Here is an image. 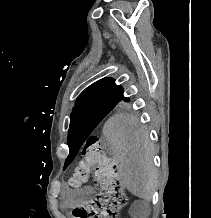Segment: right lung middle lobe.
<instances>
[{
	"label": "right lung middle lobe",
	"mask_w": 211,
	"mask_h": 218,
	"mask_svg": "<svg viewBox=\"0 0 211 218\" xmlns=\"http://www.w3.org/2000/svg\"><path fill=\"white\" fill-rule=\"evenodd\" d=\"M124 102H129V99L76 105L71 114L68 141L86 139L108 113L126 108L127 104Z\"/></svg>",
	"instance_id": "1"
}]
</instances>
